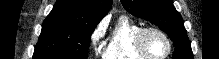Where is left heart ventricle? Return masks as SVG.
I'll use <instances>...</instances> for the list:
<instances>
[{
  "label": "left heart ventricle",
  "mask_w": 219,
  "mask_h": 59,
  "mask_svg": "<svg viewBox=\"0 0 219 59\" xmlns=\"http://www.w3.org/2000/svg\"><path fill=\"white\" fill-rule=\"evenodd\" d=\"M145 46L147 51L155 57L163 56L167 51L166 41L157 33H150L146 36Z\"/></svg>",
  "instance_id": "b2bd125f"
}]
</instances>
